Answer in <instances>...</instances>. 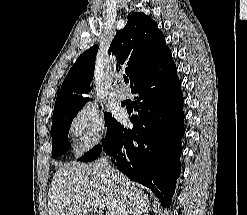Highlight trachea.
Wrapping results in <instances>:
<instances>
[{
  "label": "trachea",
  "instance_id": "obj_1",
  "mask_svg": "<svg viewBox=\"0 0 247 215\" xmlns=\"http://www.w3.org/2000/svg\"><path fill=\"white\" fill-rule=\"evenodd\" d=\"M124 82H125V83H128V82H129L128 77H124Z\"/></svg>",
  "mask_w": 247,
  "mask_h": 215
}]
</instances>
